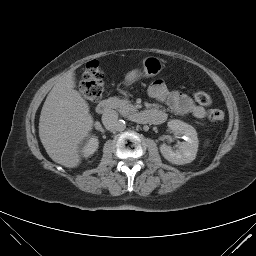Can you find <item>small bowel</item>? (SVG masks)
<instances>
[{
	"mask_svg": "<svg viewBox=\"0 0 256 256\" xmlns=\"http://www.w3.org/2000/svg\"><path fill=\"white\" fill-rule=\"evenodd\" d=\"M148 94L157 102L165 103L175 113L192 115L199 120L206 117L207 112L204 107L195 103L184 93L169 90L162 80L152 82L148 88ZM150 111L157 118L155 123H161L165 120L166 114L161 109L153 108Z\"/></svg>",
	"mask_w": 256,
	"mask_h": 256,
	"instance_id": "1",
	"label": "small bowel"
}]
</instances>
